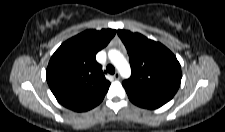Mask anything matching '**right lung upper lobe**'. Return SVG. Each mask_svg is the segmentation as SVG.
<instances>
[{
  "label": "right lung upper lobe",
  "mask_w": 225,
  "mask_h": 132,
  "mask_svg": "<svg viewBox=\"0 0 225 132\" xmlns=\"http://www.w3.org/2000/svg\"><path fill=\"white\" fill-rule=\"evenodd\" d=\"M115 33L112 29L86 30L55 51L46 70V79L59 103L83 112L102 102L110 82L96 61V54Z\"/></svg>",
  "instance_id": "cb5924a9"
}]
</instances>
